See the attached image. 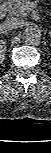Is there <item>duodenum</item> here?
I'll list each match as a JSON object with an SVG mask.
<instances>
[{
    "mask_svg": "<svg viewBox=\"0 0 51 153\" xmlns=\"http://www.w3.org/2000/svg\"><path fill=\"white\" fill-rule=\"evenodd\" d=\"M8 10V1L4 2L0 7V17H4Z\"/></svg>",
    "mask_w": 51,
    "mask_h": 153,
    "instance_id": "1",
    "label": "duodenum"
}]
</instances>
